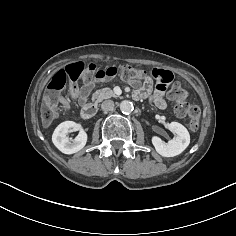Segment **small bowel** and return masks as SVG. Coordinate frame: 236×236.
<instances>
[{"label": "small bowel", "mask_w": 236, "mask_h": 236, "mask_svg": "<svg viewBox=\"0 0 236 236\" xmlns=\"http://www.w3.org/2000/svg\"><path fill=\"white\" fill-rule=\"evenodd\" d=\"M166 70L162 69H154L152 71V76H148L145 78L144 82L142 83L141 86H139L138 81L132 82V84L137 88L135 91L134 95L136 98H147L151 96L153 103L158 107V108H165L166 107V99L164 97V92H159L156 90V85L159 81L162 80V74ZM156 83L155 85V91H153V83ZM94 87V83L92 81L86 82L81 88L77 89H71V96L74 99H77L80 105H83L86 103L88 96L91 92V90ZM62 104L65 109H69L70 105L66 99H62Z\"/></svg>", "instance_id": "c3829d8e"}]
</instances>
